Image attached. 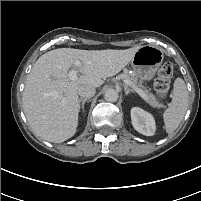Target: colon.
I'll use <instances>...</instances> for the list:
<instances>
[{"label":"colon","instance_id":"5ec220e1","mask_svg":"<svg viewBox=\"0 0 201 201\" xmlns=\"http://www.w3.org/2000/svg\"><path fill=\"white\" fill-rule=\"evenodd\" d=\"M172 75L173 67L170 63L163 64L159 69L154 88L160 97H164L168 93Z\"/></svg>","mask_w":201,"mask_h":201}]
</instances>
